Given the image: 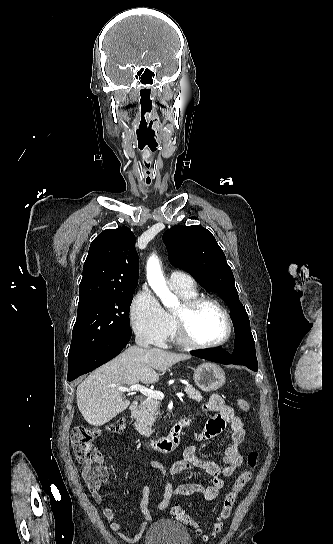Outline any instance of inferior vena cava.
<instances>
[{
  "instance_id": "obj_1",
  "label": "inferior vena cava",
  "mask_w": 333,
  "mask_h": 544,
  "mask_svg": "<svg viewBox=\"0 0 333 544\" xmlns=\"http://www.w3.org/2000/svg\"><path fill=\"white\" fill-rule=\"evenodd\" d=\"M135 343L139 347H143L145 349L149 348V343L143 335L137 334L135 337Z\"/></svg>"
}]
</instances>
